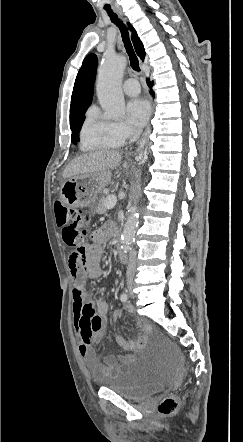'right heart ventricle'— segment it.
<instances>
[{
	"label": "right heart ventricle",
	"mask_w": 243,
	"mask_h": 442,
	"mask_svg": "<svg viewBox=\"0 0 243 442\" xmlns=\"http://www.w3.org/2000/svg\"><path fill=\"white\" fill-rule=\"evenodd\" d=\"M109 123L97 108H89L80 131L81 149L89 151L117 146L120 142L112 135Z\"/></svg>",
	"instance_id": "obj_1"
}]
</instances>
